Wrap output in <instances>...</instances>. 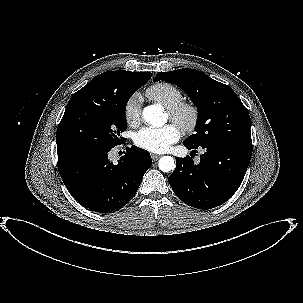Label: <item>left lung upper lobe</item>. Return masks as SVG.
<instances>
[{
	"instance_id": "obj_1",
	"label": "left lung upper lobe",
	"mask_w": 303,
	"mask_h": 303,
	"mask_svg": "<svg viewBox=\"0 0 303 303\" xmlns=\"http://www.w3.org/2000/svg\"><path fill=\"white\" fill-rule=\"evenodd\" d=\"M163 80L181 87L198 108L196 134L183 143L199 147L214 140H251L248 110L228 85L194 69L158 72L154 82Z\"/></svg>"
}]
</instances>
